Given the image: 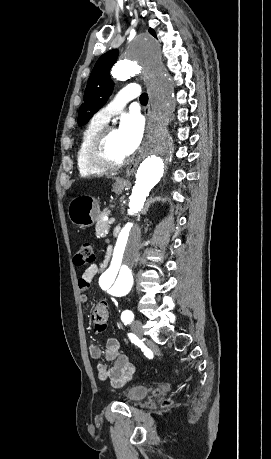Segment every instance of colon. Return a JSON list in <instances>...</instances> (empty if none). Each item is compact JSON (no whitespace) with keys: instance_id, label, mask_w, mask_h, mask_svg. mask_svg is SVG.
Instances as JSON below:
<instances>
[{"instance_id":"5ec220e1","label":"colon","mask_w":271,"mask_h":459,"mask_svg":"<svg viewBox=\"0 0 271 459\" xmlns=\"http://www.w3.org/2000/svg\"><path fill=\"white\" fill-rule=\"evenodd\" d=\"M95 254L93 247L90 243H83L75 254L73 262L77 266L90 264L94 262ZM108 302L105 299H101L95 305L91 314V322L95 333H103L108 325Z\"/></svg>"}]
</instances>
